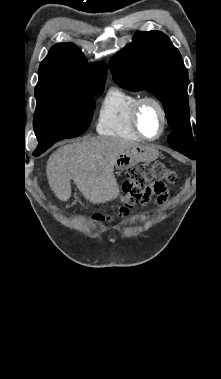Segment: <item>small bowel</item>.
I'll return each mask as SVG.
<instances>
[{"label":"small bowel","mask_w":221,"mask_h":379,"mask_svg":"<svg viewBox=\"0 0 221 379\" xmlns=\"http://www.w3.org/2000/svg\"><path fill=\"white\" fill-rule=\"evenodd\" d=\"M151 196L152 195H149V196H146L142 201H141V204H143V205H145V204H147L149 201H150V199H151ZM166 192L165 193H163V194H161V195H157V199H158V202L159 203H162L165 199H166Z\"/></svg>","instance_id":"c3829d8e"}]
</instances>
